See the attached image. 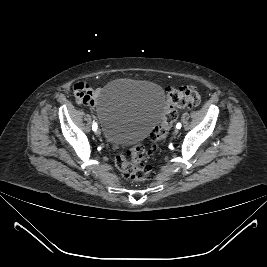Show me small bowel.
<instances>
[{"label":"small bowel","mask_w":267,"mask_h":267,"mask_svg":"<svg viewBox=\"0 0 267 267\" xmlns=\"http://www.w3.org/2000/svg\"><path fill=\"white\" fill-rule=\"evenodd\" d=\"M74 95L77 102L88 106H93L97 91L89 84L79 82L74 85Z\"/></svg>","instance_id":"1"}]
</instances>
